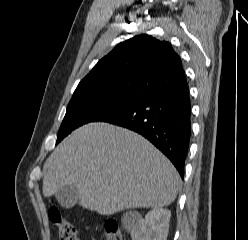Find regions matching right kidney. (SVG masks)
Here are the masks:
<instances>
[{
    "instance_id": "ca27d5eb",
    "label": "right kidney",
    "mask_w": 248,
    "mask_h": 240,
    "mask_svg": "<svg viewBox=\"0 0 248 240\" xmlns=\"http://www.w3.org/2000/svg\"><path fill=\"white\" fill-rule=\"evenodd\" d=\"M171 211L154 208L130 228L132 240H167Z\"/></svg>"
}]
</instances>
